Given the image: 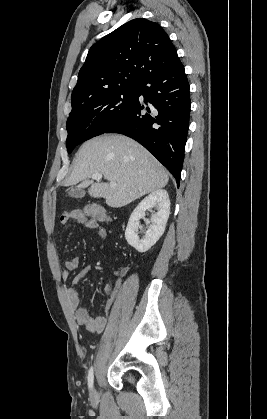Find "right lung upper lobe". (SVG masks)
<instances>
[{
  "label": "right lung upper lobe",
  "instance_id": "obj_1",
  "mask_svg": "<svg viewBox=\"0 0 267 419\" xmlns=\"http://www.w3.org/2000/svg\"><path fill=\"white\" fill-rule=\"evenodd\" d=\"M178 61L175 46L158 23L143 18L131 20L90 48L71 102L105 91L138 87L150 74Z\"/></svg>",
  "mask_w": 267,
  "mask_h": 419
}]
</instances>
